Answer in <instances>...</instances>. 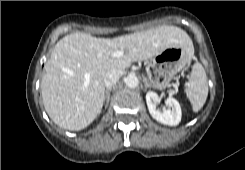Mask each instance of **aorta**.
I'll use <instances>...</instances> for the list:
<instances>
[{
  "instance_id": "obj_1",
  "label": "aorta",
  "mask_w": 245,
  "mask_h": 170,
  "mask_svg": "<svg viewBox=\"0 0 245 170\" xmlns=\"http://www.w3.org/2000/svg\"><path fill=\"white\" fill-rule=\"evenodd\" d=\"M125 85L129 88H135L137 87L139 81L136 75H128L125 80Z\"/></svg>"
}]
</instances>
